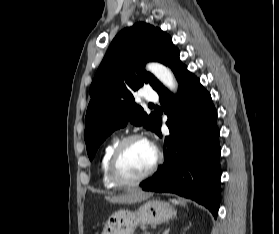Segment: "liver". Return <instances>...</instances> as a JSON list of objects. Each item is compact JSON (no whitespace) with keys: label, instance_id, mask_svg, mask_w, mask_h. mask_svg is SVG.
<instances>
[{"label":"liver","instance_id":"6515ba94","mask_svg":"<svg viewBox=\"0 0 279 234\" xmlns=\"http://www.w3.org/2000/svg\"><path fill=\"white\" fill-rule=\"evenodd\" d=\"M150 193H145L143 191H130L128 193L117 195V196H105V199L110 203L117 204H132L144 201L150 197Z\"/></svg>","mask_w":279,"mask_h":234}]
</instances>
